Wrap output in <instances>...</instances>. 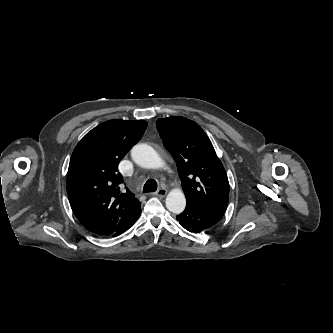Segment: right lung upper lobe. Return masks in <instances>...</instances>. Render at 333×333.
Segmentation results:
<instances>
[{"mask_svg": "<svg viewBox=\"0 0 333 333\" xmlns=\"http://www.w3.org/2000/svg\"><path fill=\"white\" fill-rule=\"evenodd\" d=\"M144 120L112 119L88 132L75 147L67 173V194L76 218L90 232L111 236L140 213L141 203L122 193L118 164L141 139Z\"/></svg>", "mask_w": 333, "mask_h": 333, "instance_id": "obj_1", "label": "right lung upper lobe"}]
</instances>
